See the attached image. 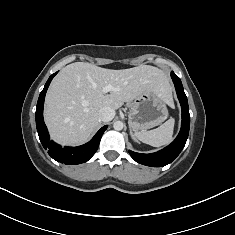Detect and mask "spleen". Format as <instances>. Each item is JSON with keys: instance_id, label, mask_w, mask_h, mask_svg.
Listing matches in <instances>:
<instances>
[{"instance_id": "spleen-1", "label": "spleen", "mask_w": 235, "mask_h": 235, "mask_svg": "<svg viewBox=\"0 0 235 235\" xmlns=\"http://www.w3.org/2000/svg\"><path fill=\"white\" fill-rule=\"evenodd\" d=\"M175 120L170 118L156 129L139 132L135 136L143 143L153 147H160L172 140Z\"/></svg>"}]
</instances>
